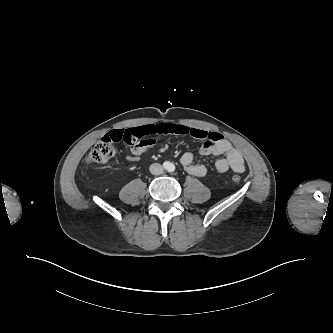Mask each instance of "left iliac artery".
Wrapping results in <instances>:
<instances>
[{
    "instance_id": "1",
    "label": "left iliac artery",
    "mask_w": 333,
    "mask_h": 333,
    "mask_svg": "<svg viewBox=\"0 0 333 333\" xmlns=\"http://www.w3.org/2000/svg\"><path fill=\"white\" fill-rule=\"evenodd\" d=\"M175 170V167L174 166H172L171 167V169H170V171H174Z\"/></svg>"
}]
</instances>
